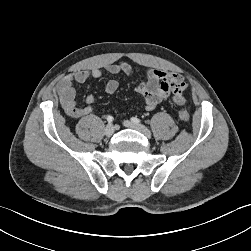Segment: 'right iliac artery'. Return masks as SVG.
I'll list each match as a JSON object with an SVG mask.
<instances>
[{"instance_id":"82829eb1","label":"right iliac artery","mask_w":251,"mask_h":251,"mask_svg":"<svg viewBox=\"0 0 251 251\" xmlns=\"http://www.w3.org/2000/svg\"><path fill=\"white\" fill-rule=\"evenodd\" d=\"M113 120H114V118H113L111 115H109V116L107 117V121H108L109 123H112Z\"/></svg>"}]
</instances>
